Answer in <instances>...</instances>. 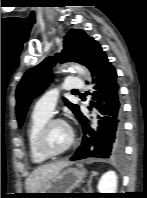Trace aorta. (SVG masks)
Wrapping results in <instances>:
<instances>
[{
	"mask_svg": "<svg viewBox=\"0 0 147 198\" xmlns=\"http://www.w3.org/2000/svg\"><path fill=\"white\" fill-rule=\"evenodd\" d=\"M68 69L73 70L82 76L88 75V70L79 64H74V65L68 67Z\"/></svg>",
	"mask_w": 147,
	"mask_h": 198,
	"instance_id": "aorta-1",
	"label": "aorta"
}]
</instances>
